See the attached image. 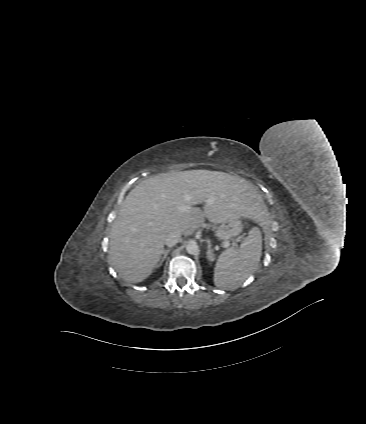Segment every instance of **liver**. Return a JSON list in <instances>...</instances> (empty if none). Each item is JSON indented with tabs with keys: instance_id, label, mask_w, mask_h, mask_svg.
<instances>
[{
	"instance_id": "6515ba94",
	"label": "liver",
	"mask_w": 366,
	"mask_h": 424,
	"mask_svg": "<svg viewBox=\"0 0 366 424\" xmlns=\"http://www.w3.org/2000/svg\"><path fill=\"white\" fill-rule=\"evenodd\" d=\"M197 204H204L201 210ZM266 206L245 179L220 171L188 170L150 177L130 191L110 231L111 265L127 282L148 278L172 231L188 237L205 222H262Z\"/></svg>"
}]
</instances>
